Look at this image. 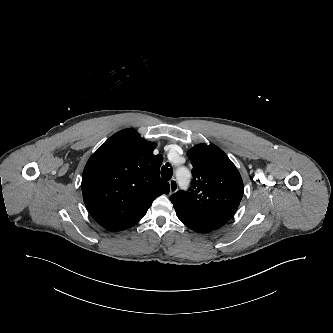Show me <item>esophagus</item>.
I'll use <instances>...</instances> for the list:
<instances>
[{
    "instance_id": "34e87169",
    "label": "esophagus",
    "mask_w": 333,
    "mask_h": 333,
    "mask_svg": "<svg viewBox=\"0 0 333 333\" xmlns=\"http://www.w3.org/2000/svg\"><path fill=\"white\" fill-rule=\"evenodd\" d=\"M169 186H170V193H174L177 191L178 189V183L176 179H171L169 182Z\"/></svg>"
}]
</instances>
